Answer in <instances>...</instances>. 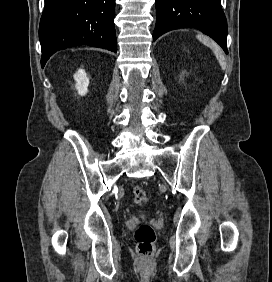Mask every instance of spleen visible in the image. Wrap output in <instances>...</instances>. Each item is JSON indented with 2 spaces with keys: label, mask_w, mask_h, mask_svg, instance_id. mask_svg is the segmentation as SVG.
Here are the masks:
<instances>
[{
  "label": "spleen",
  "mask_w": 272,
  "mask_h": 282,
  "mask_svg": "<svg viewBox=\"0 0 272 282\" xmlns=\"http://www.w3.org/2000/svg\"><path fill=\"white\" fill-rule=\"evenodd\" d=\"M197 39L213 51L220 66L222 67V69H225L226 62L221 48L214 41L204 35H197Z\"/></svg>",
  "instance_id": "spleen-1"
}]
</instances>
